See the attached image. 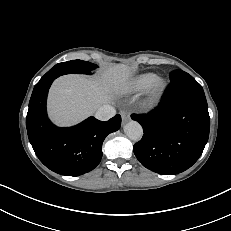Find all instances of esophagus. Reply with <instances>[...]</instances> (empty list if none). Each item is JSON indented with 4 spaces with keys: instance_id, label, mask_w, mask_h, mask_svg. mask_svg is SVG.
I'll return each instance as SVG.
<instances>
[{
    "instance_id": "34e87169",
    "label": "esophagus",
    "mask_w": 231,
    "mask_h": 231,
    "mask_svg": "<svg viewBox=\"0 0 231 231\" xmlns=\"http://www.w3.org/2000/svg\"><path fill=\"white\" fill-rule=\"evenodd\" d=\"M120 115L122 117V122L126 123L130 120V113L126 110L120 111Z\"/></svg>"
}]
</instances>
